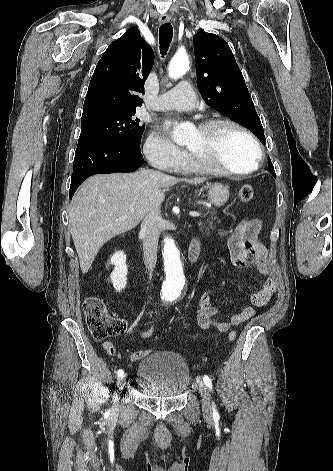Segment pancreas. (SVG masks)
<instances>
[{
  "instance_id": "obj_1",
  "label": "pancreas",
  "mask_w": 333,
  "mask_h": 471,
  "mask_svg": "<svg viewBox=\"0 0 333 471\" xmlns=\"http://www.w3.org/2000/svg\"><path fill=\"white\" fill-rule=\"evenodd\" d=\"M209 213V211H208ZM211 217H208L205 222H199L198 225L199 227L204 230L205 232H210L215 229V224L214 221L216 220V217H213L214 212H211Z\"/></svg>"
}]
</instances>
